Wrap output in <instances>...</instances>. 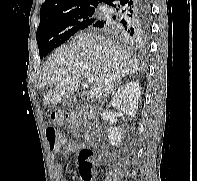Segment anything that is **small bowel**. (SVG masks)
Listing matches in <instances>:
<instances>
[{"instance_id":"obj_1","label":"small bowel","mask_w":197,"mask_h":181,"mask_svg":"<svg viewBox=\"0 0 197 181\" xmlns=\"http://www.w3.org/2000/svg\"><path fill=\"white\" fill-rule=\"evenodd\" d=\"M81 149V145L78 144V143H69V144H66L65 147H64V152L66 154H70V153H73V152H76L78 150ZM61 150V148L58 150V151H54L52 150L53 152H59ZM54 170H55V174L57 177H62L63 175V171H62V166L60 163H56L55 166H54ZM61 181H67L66 179H62Z\"/></svg>"}]
</instances>
